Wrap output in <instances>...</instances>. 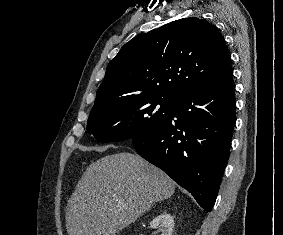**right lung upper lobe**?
Masks as SVG:
<instances>
[{"label":"right lung upper lobe","mask_w":283,"mask_h":235,"mask_svg":"<svg viewBox=\"0 0 283 235\" xmlns=\"http://www.w3.org/2000/svg\"><path fill=\"white\" fill-rule=\"evenodd\" d=\"M232 73L218 29L205 19L184 18L125 44L107 66L94 106L145 96L174 99Z\"/></svg>","instance_id":"1"}]
</instances>
